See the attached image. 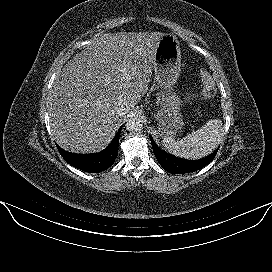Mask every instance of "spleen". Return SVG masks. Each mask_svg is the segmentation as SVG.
<instances>
[{
    "mask_svg": "<svg viewBox=\"0 0 272 272\" xmlns=\"http://www.w3.org/2000/svg\"><path fill=\"white\" fill-rule=\"evenodd\" d=\"M222 137V121L211 119L200 129L188 134L183 139L164 137L162 145L173 155L186 159H200L210 154Z\"/></svg>",
    "mask_w": 272,
    "mask_h": 272,
    "instance_id": "obj_1",
    "label": "spleen"
}]
</instances>
